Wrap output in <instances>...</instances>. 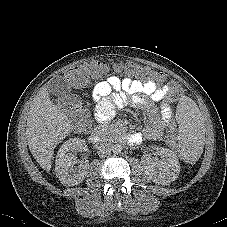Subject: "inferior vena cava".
<instances>
[{
    "mask_svg": "<svg viewBox=\"0 0 227 227\" xmlns=\"http://www.w3.org/2000/svg\"><path fill=\"white\" fill-rule=\"evenodd\" d=\"M111 147L109 144L107 143H102L99 147H98V155L100 157H106L108 155L111 154Z\"/></svg>",
    "mask_w": 227,
    "mask_h": 227,
    "instance_id": "inferior-vena-cava-1",
    "label": "inferior vena cava"
}]
</instances>
